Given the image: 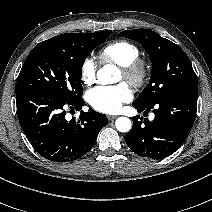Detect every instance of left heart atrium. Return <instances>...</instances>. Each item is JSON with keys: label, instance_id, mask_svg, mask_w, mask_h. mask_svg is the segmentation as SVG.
I'll return each mask as SVG.
<instances>
[{"label": "left heart atrium", "instance_id": "39dd6f15", "mask_svg": "<svg viewBox=\"0 0 212 212\" xmlns=\"http://www.w3.org/2000/svg\"><path fill=\"white\" fill-rule=\"evenodd\" d=\"M132 99V91L126 83L114 86H98L87 93V101L96 111L115 113Z\"/></svg>", "mask_w": 212, "mask_h": 212}]
</instances>
